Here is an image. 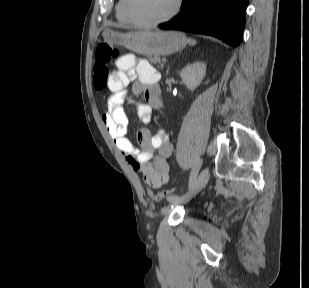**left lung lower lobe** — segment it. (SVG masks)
Returning a JSON list of instances; mask_svg holds the SVG:
<instances>
[{
  "label": "left lung lower lobe",
  "mask_w": 309,
  "mask_h": 288,
  "mask_svg": "<svg viewBox=\"0 0 309 288\" xmlns=\"http://www.w3.org/2000/svg\"><path fill=\"white\" fill-rule=\"evenodd\" d=\"M247 5L248 0H183L180 14L158 27L214 36L236 47L241 41Z\"/></svg>",
  "instance_id": "left-lung-lower-lobe-1"
}]
</instances>
